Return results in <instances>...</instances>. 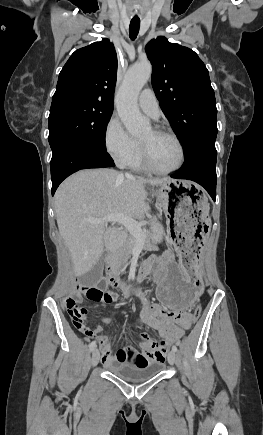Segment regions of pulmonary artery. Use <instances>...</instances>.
I'll use <instances>...</instances> for the list:
<instances>
[{
    "mask_svg": "<svg viewBox=\"0 0 263 435\" xmlns=\"http://www.w3.org/2000/svg\"><path fill=\"white\" fill-rule=\"evenodd\" d=\"M139 108L153 119L160 115V108L157 99L150 88L144 89L138 99Z\"/></svg>",
    "mask_w": 263,
    "mask_h": 435,
    "instance_id": "obj_1",
    "label": "pulmonary artery"
}]
</instances>
